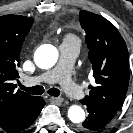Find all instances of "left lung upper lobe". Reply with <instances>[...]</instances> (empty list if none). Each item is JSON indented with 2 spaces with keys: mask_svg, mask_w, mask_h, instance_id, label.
Instances as JSON below:
<instances>
[{
  "mask_svg": "<svg viewBox=\"0 0 133 133\" xmlns=\"http://www.w3.org/2000/svg\"><path fill=\"white\" fill-rule=\"evenodd\" d=\"M80 24L86 32L88 57L96 85L83 101L118 111L129 83L128 50L115 26L94 13L80 11Z\"/></svg>",
  "mask_w": 133,
  "mask_h": 133,
  "instance_id": "1",
  "label": "left lung upper lobe"
}]
</instances>
